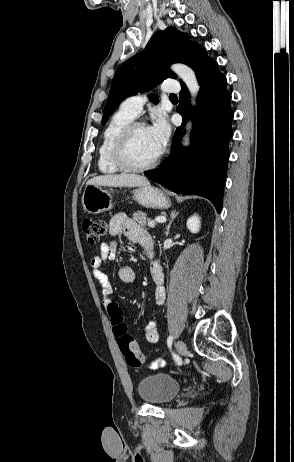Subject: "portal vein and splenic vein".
<instances>
[{"label": "portal vein and splenic vein", "mask_w": 294, "mask_h": 462, "mask_svg": "<svg viewBox=\"0 0 294 462\" xmlns=\"http://www.w3.org/2000/svg\"><path fill=\"white\" fill-rule=\"evenodd\" d=\"M155 222L164 223V222H166V218L163 217V216L157 217V218H155L153 221H151L150 224H153V223H155Z\"/></svg>", "instance_id": "obj_1"}]
</instances>
